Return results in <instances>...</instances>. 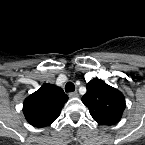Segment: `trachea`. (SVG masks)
<instances>
[{
    "mask_svg": "<svg viewBox=\"0 0 145 145\" xmlns=\"http://www.w3.org/2000/svg\"><path fill=\"white\" fill-rule=\"evenodd\" d=\"M65 91L66 92H73V91H75V85L72 82H68L65 85Z\"/></svg>",
    "mask_w": 145,
    "mask_h": 145,
    "instance_id": "trachea-1",
    "label": "trachea"
}]
</instances>
